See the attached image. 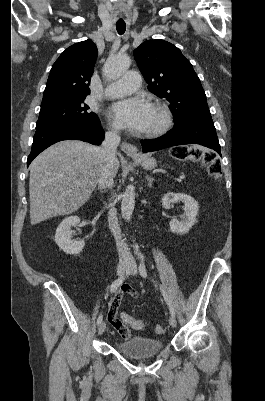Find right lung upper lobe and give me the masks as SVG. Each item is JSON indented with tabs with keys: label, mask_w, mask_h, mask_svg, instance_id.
I'll return each mask as SVG.
<instances>
[{
	"label": "right lung upper lobe",
	"mask_w": 265,
	"mask_h": 401,
	"mask_svg": "<svg viewBox=\"0 0 265 401\" xmlns=\"http://www.w3.org/2000/svg\"><path fill=\"white\" fill-rule=\"evenodd\" d=\"M91 40L76 43L61 53L53 64L41 104L56 100L86 97L97 58Z\"/></svg>",
	"instance_id": "obj_1"
}]
</instances>
